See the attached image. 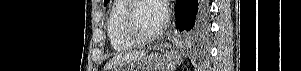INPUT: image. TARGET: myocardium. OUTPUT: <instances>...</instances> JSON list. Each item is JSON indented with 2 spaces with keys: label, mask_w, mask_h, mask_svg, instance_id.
Wrapping results in <instances>:
<instances>
[{
  "label": "myocardium",
  "mask_w": 301,
  "mask_h": 71,
  "mask_svg": "<svg viewBox=\"0 0 301 71\" xmlns=\"http://www.w3.org/2000/svg\"><path fill=\"white\" fill-rule=\"evenodd\" d=\"M144 1H149V0H130L128 6L124 11L123 19H122L123 29L126 36L137 44L152 43L158 40L163 32V28H161L160 30H158L157 32L151 35H144L139 31L134 21V12L138 7V5Z\"/></svg>",
  "instance_id": "myocardium-1"
}]
</instances>
